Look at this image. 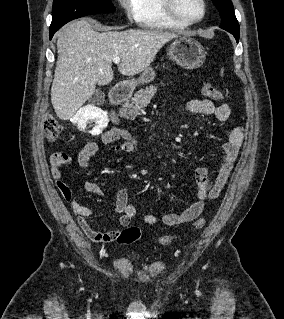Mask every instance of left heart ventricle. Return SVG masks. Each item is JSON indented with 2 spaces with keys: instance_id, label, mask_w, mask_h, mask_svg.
<instances>
[{
  "instance_id": "left-heart-ventricle-1",
  "label": "left heart ventricle",
  "mask_w": 284,
  "mask_h": 319,
  "mask_svg": "<svg viewBox=\"0 0 284 319\" xmlns=\"http://www.w3.org/2000/svg\"><path fill=\"white\" fill-rule=\"evenodd\" d=\"M178 13L187 20L198 19L202 15L201 0H176Z\"/></svg>"
}]
</instances>
